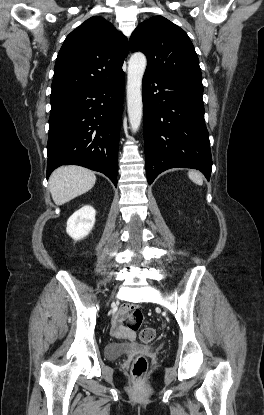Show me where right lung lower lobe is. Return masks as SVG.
Instances as JSON below:
<instances>
[{"label":"right lung lower lobe","mask_w":264,"mask_h":415,"mask_svg":"<svg viewBox=\"0 0 264 415\" xmlns=\"http://www.w3.org/2000/svg\"><path fill=\"white\" fill-rule=\"evenodd\" d=\"M125 74L115 80L51 98L47 173L80 165L105 174L115 186Z\"/></svg>","instance_id":"obj_1"}]
</instances>
